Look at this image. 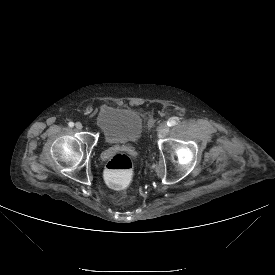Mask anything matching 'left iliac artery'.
Segmentation results:
<instances>
[{"mask_svg": "<svg viewBox=\"0 0 275 275\" xmlns=\"http://www.w3.org/2000/svg\"><path fill=\"white\" fill-rule=\"evenodd\" d=\"M175 124H176V121H175L174 119H171V120H169V121L167 122V125H168L169 127L174 126Z\"/></svg>", "mask_w": 275, "mask_h": 275, "instance_id": "left-iliac-artery-1", "label": "left iliac artery"}]
</instances>
